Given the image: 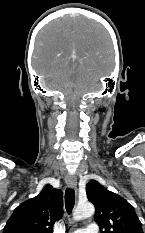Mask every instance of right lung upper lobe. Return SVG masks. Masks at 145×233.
I'll return each mask as SVG.
<instances>
[{
  "label": "right lung upper lobe",
  "instance_id": "right-lung-upper-lobe-1",
  "mask_svg": "<svg viewBox=\"0 0 145 233\" xmlns=\"http://www.w3.org/2000/svg\"><path fill=\"white\" fill-rule=\"evenodd\" d=\"M62 215V192L48 184L13 211L3 233H53L52 227Z\"/></svg>",
  "mask_w": 145,
  "mask_h": 233
}]
</instances>
